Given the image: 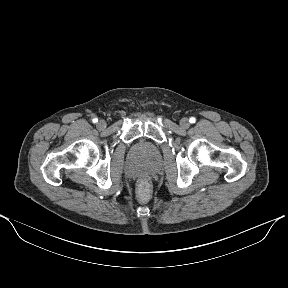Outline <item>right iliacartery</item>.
Masks as SVG:
<instances>
[{
    "instance_id": "82829eb1",
    "label": "right iliac artery",
    "mask_w": 288,
    "mask_h": 288,
    "mask_svg": "<svg viewBox=\"0 0 288 288\" xmlns=\"http://www.w3.org/2000/svg\"><path fill=\"white\" fill-rule=\"evenodd\" d=\"M92 121H93V123H96V122H98V119L94 118Z\"/></svg>"
}]
</instances>
